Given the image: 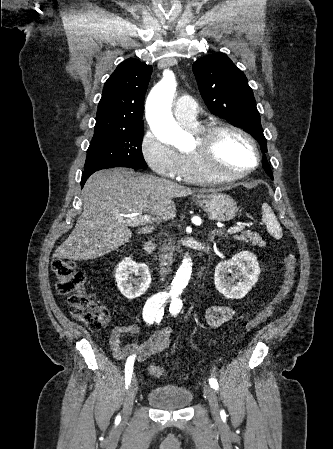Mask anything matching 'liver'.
<instances>
[{
  "label": "liver",
  "mask_w": 333,
  "mask_h": 449,
  "mask_svg": "<svg viewBox=\"0 0 333 449\" xmlns=\"http://www.w3.org/2000/svg\"><path fill=\"white\" fill-rule=\"evenodd\" d=\"M196 190L154 176L135 177L130 170L116 168L94 173L83 188V212L74 230L56 250L59 258L90 260L127 243L134 226L125 214L150 213L156 220H171L176 215L173 198L191 195ZM210 192V190H200ZM144 226L138 234H148Z\"/></svg>",
  "instance_id": "1"
}]
</instances>
